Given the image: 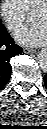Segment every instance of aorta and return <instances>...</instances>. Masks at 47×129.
Segmentation results:
<instances>
[{
  "instance_id": "1",
  "label": "aorta",
  "mask_w": 47,
  "mask_h": 129,
  "mask_svg": "<svg viewBox=\"0 0 47 129\" xmlns=\"http://www.w3.org/2000/svg\"><path fill=\"white\" fill-rule=\"evenodd\" d=\"M38 63L41 68L47 67V52L45 50L38 54Z\"/></svg>"
}]
</instances>
